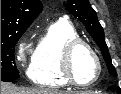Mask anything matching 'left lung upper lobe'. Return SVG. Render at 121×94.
Instances as JSON below:
<instances>
[{"instance_id":"5c2ea615","label":"left lung upper lobe","mask_w":121,"mask_h":94,"mask_svg":"<svg viewBox=\"0 0 121 94\" xmlns=\"http://www.w3.org/2000/svg\"><path fill=\"white\" fill-rule=\"evenodd\" d=\"M64 6L67 11L77 17L85 25L89 34L96 41L101 49L103 58L106 61L108 71L111 75L117 76L116 70L111 62V57L105 42V36L102 26L100 25L96 12L91 7L88 0H64Z\"/></svg>"}]
</instances>
